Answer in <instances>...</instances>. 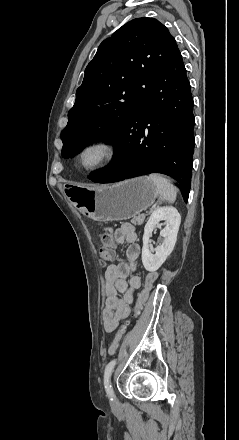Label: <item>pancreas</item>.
<instances>
[{"label": "pancreas", "instance_id": "1", "mask_svg": "<svg viewBox=\"0 0 239 440\" xmlns=\"http://www.w3.org/2000/svg\"><path fill=\"white\" fill-rule=\"evenodd\" d=\"M145 218H146V214H139V216H135V218H132V220H130V222H131V224H134V226H141V224H143Z\"/></svg>", "mask_w": 239, "mask_h": 440}]
</instances>
